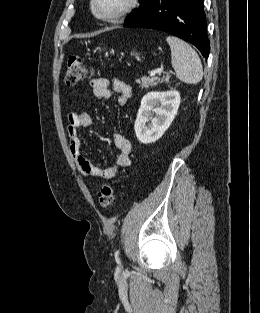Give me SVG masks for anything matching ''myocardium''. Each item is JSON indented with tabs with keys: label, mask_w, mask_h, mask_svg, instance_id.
Returning <instances> with one entry per match:
<instances>
[{
	"label": "myocardium",
	"mask_w": 260,
	"mask_h": 313,
	"mask_svg": "<svg viewBox=\"0 0 260 313\" xmlns=\"http://www.w3.org/2000/svg\"><path fill=\"white\" fill-rule=\"evenodd\" d=\"M138 5V0H128L126 6L116 14L103 15L97 9V0H91V10L94 16L103 22L114 23L128 16Z\"/></svg>",
	"instance_id": "f54148a6"
}]
</instances>
